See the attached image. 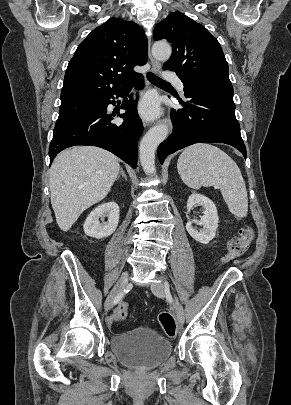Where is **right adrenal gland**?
<instances>
[{"label": "right adrenal gland", "instance_id": "2a0ac1e0", "mask_svg": "<svg viewBox=\"0 0 291 405\" xmlns=\"http://www.w3.org/2000/svg\"><path fill=\"white\" fill-rule=\"evenodd\" d=\"M121 175L125 178V180H127V176H126L125 171L123 170V168L120 169V173H119L117 179H119V177H120Z\"/></svg>", "mask_w": 291, "mask_h": 405}]
</instances>
